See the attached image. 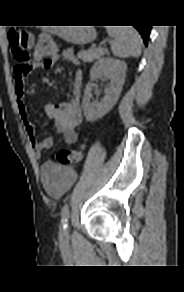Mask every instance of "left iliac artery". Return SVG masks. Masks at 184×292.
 I'll return each instance as SVG.
<instances>
[{
  "label": "left iliac artery",
  "instance_id": "obj_1",
  "mask_svg": "<svg viewBox=\"0 0 184 292\" xmlns=\"http://www.w3.org/2000/svg\"><path fill=\"white\" fill-rule=\"evenodd\" d=\"M61 217H62L63 227L66 228L67 227V223H68V219H69V209H68V206L65 205L62 208Z\"/></svg>",
  "mask_w": 184,
  "mask_h": 292
}]
</instances>
